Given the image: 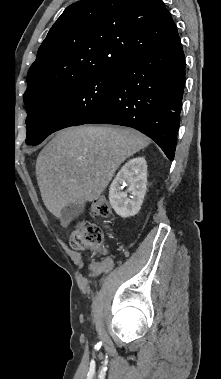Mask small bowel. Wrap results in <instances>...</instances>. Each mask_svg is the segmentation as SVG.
<instances>
[{
	"instance_id": "obj_1",
	"label": "small bowel",
	"mask_w": 221,
	"mask_h": 379,
	"mask_svg": "<svg viewBox=\"0 0 221 379\" xmlns=\"http://www.w3.org/2000/svg\"><path fill=\"white\" fill-rule=\"evenodd\" d=\"M113 267V261L109 258L107 259H104L103 261H101L97 268H96V271L94 273V276H97L99 275L100 273H102L103 271L105 270H109Z\"/></svg>"
}]
</instances>
